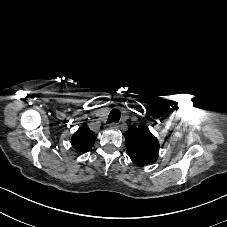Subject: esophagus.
Returning a JSON list of instances; mask_svg holds the SVG:
<instances>
[{
    "label": "esophagus",
    "mask_w": 227,
    "mask_h": 227,
    "mask_svg": "<svg viewBox=\"0 0 227 227\" xmlns=\"http://www.w3.org/2000/svg\"><path fill=\"white\" fill-rule=\"evenodd\" d=\"M117 127H118V126H117L116 124H111V125H110V128H111V129H115V128H117Z\"/></svg>",
    "instance_id": "obj_1"
}]
</instances>
